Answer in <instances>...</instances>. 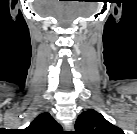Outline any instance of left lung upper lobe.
I'll list each match as a JSON object with an SVG mask.
<instances>
[{"label": "left lung upper lobe", "mask_w": 137, "mask_h": 134, "mask_svg": "<svg viewBox=\"0 0 137 134\" xmlns=\"http://www.w3.org/2000/svg\"><path fill=\"white\" fill-rule=\"evenodd\" d=\"M76 134H124L94 109L82 112L75 124Z\"/></svg>", "instance_id": "5c2ea615"}]
</instances>
